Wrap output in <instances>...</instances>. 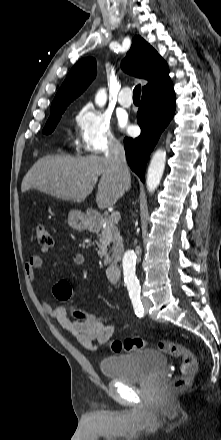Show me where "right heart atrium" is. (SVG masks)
<instances>
[{
  "instance_id": "1",
  "label": "right heart atrium",
  "mask_w": 221,
  "mask_h": 440,
  "mask_svg": "<svg viewBox=\"0 0 221 440\" xmlns=\"http://www.w3.org/2000/svg\"><path fill=\"white\" fill-rule=\"evenodd\" d=\"M76 141L86 153L110 152L118 147L110 119L93 106L85 105L76 114Z\"/></svg>"
}]
</instances>
